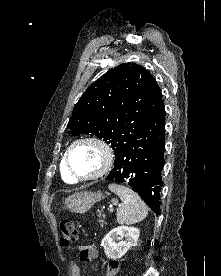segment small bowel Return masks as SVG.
<instances>
[{
    "label": "small bowel",
    "instance_id": "small-bowel-1",
    "mask_svg": "<svg viewBox=\"0 0 221 276\" xmlns=\"http://www.w3.org/2000/svg\"><path fill=\"white\" fill-rule=\"evenodd\" d=\"M97 257V252L92 245H83L79 247L80 261H93ZM72 276H82L80 267L77 262L71 264Z\"/></svg>",
    "mask_w": 221,
    "mask_h": 276
}]
</instances>
